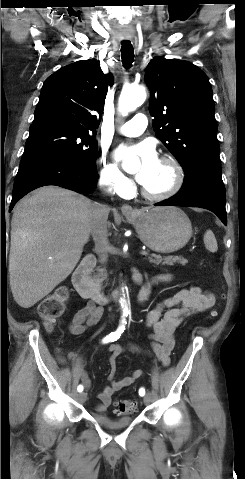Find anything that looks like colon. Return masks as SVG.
Here are the masks:
<instances>
[{"label": "colon", "instance_id": "colon-1", "mask_svg": "<svg viewBox=\"0 0 245 479\" xmlns=\"http://www.w3.org/2000/svg\"><path fill=\"white\" fill-rule=\"evenodd\" d=\"M69 298V292L66 287H59L54 292L47 295L40 303L38 311L47 330H53L57 320L64 313ZM210 315L215 317L217 311H211ZM136 402L131 400L119 399L115 402V409L120 414L133 413L136 410Z\"/></svg>", "mask_w": 245, "mask_h": 479}]
</instances>
